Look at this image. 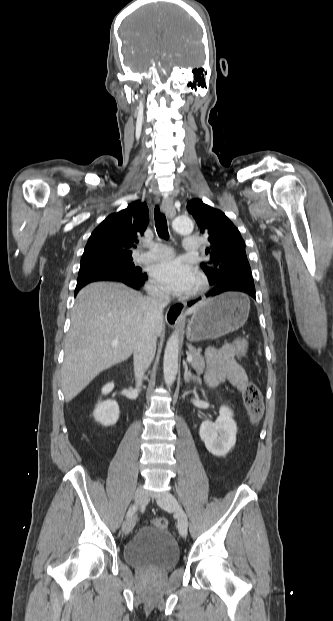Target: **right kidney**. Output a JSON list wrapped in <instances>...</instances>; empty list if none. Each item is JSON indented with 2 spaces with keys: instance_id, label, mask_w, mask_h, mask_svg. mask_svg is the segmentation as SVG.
I'll list each match as a JSON object with an SVG mask.
<instances>
[{
  "instance_id": "obj_1",
  "label": "right kidney",
  "mask_w": 333,
  "mask_h": 621,
  "mask_svg": "<svg viewBox=\"0 0 333 621\" xmlns=\"http://www.w3.org/2000/svg\"><path fill=\"white\" fill-rule=\"evenodd\" d=\"M114 388L113 383H108L102 388V394H109ZM119 406L115 400L99 401L93 412L97 422L103 426H112L119 419Z\"/></svg>"
}]
</instances>
